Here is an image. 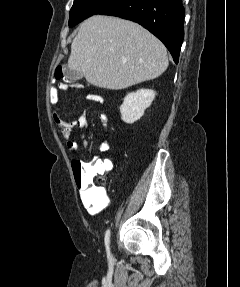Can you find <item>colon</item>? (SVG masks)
<instances>
[{
    "label": "colon",
    "instance_id": "obj_1",
    "mask_svg": "<svg viewBox=\"0 0 240 287\" xmlns=\"http://www.w3.org/2000/svg\"><path fill=\"white\" fill-rule=\"evenodd\" d=\"M54 81L49 90L48 103L53 115V119H57L61 114L62 99L61 93L68 87L76 85H70L64 80V74L62 67H57L54 74ZM73 172L77 180L78 188L83 194H89V191L93 189V180L96 175L102 174L111 168L110 162H100L94 164H87L80 161H74L72 164Z\"/></svg>",
    "mask_w": 240,
    "mask_h": 287
}]
</instances>
